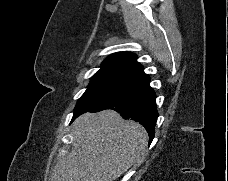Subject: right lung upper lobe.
I'll list each match as a JSON object with an SVG mask.
<instances>
[{
	"label": "right lung upper lobe",
	"mask_w": 228,
	"mask_h": 181,
	"mask_svg": "<svg viewBox=\"0 0 228 181\" xmlns=\"http://www.w3.org/2000/svg\"><path fill=\"white\" fill-rule=\"evenodd\" d=\"M133 53L119 52L110 55L93 77H110L132 81L144 74Z\"/></svg>",
	"instance_id": "cb5924a9"
}]
</instances>
